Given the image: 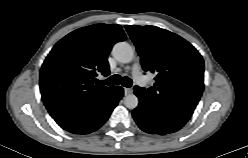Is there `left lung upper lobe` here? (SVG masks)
I'll use <instances>...</instances> for the list:
<instances>
[{"mask_svg": "<svg viewBox=\"0 0 248 158\" xmlns=\"http://www.w3.org/2000/svg\"><path fill=\"white\" fill-rule=\"evenodd\" d=\"M145 71L156 74L155 83L134 92L170 118L186 123L204 90V61L182 37L155 26L126 25Z\"/></svg>", "mask_w": 248, "mask_h": 158, "instance_id": "obj_1", "label": "left lung upper lobe"}]
</instances>
